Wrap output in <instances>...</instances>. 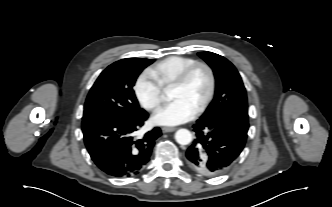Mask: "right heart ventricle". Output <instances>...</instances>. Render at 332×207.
<instances>
[{
	"label": "right heart ventricle",
	"instance_id": "obj_1",
	"mask_svg": "<svg viewBox=\"0 0 332 207\" xmlns=\"http://www.w3.org/2000/svg\"><path fill=\"white\" fill-rule=\"evenodd\" d=\"M195 62L197 60L191 57L172 55L151 67L149 73L162 88H168L187 67Z\"/></svg>",
	"mask_w": 332,
	"mask_h": 207
}]
</instances>
